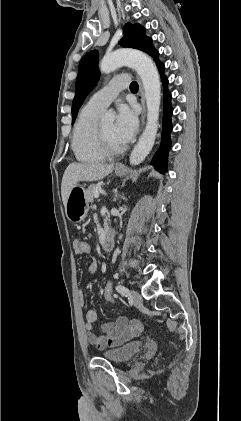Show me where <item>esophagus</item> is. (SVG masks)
Here are the masks:
<instances>
[{
  "instance_id": "34e87169",
  "label": "esophagus",
  "mask_w": 241,
  "mask_h": 421,
  "mask_svg": "<svg viewBox=\"0 0 241 421\" xmlns=\"http://www.w3.org/2000/svg\"><path fill=\"white\" fill-rule=\"evenodd\" d=\"M138 82H139V92H140V95H141V104H142V114H141V125H142V128H143V126H144V123H145V117H146V108H145V101H144V91H143V86H142V84H141V82H140V80H139V78H138ZM123 164L122 163H119L118 165H117V168H123Z\"/></svg>"
}]
</instances>
